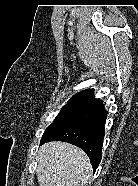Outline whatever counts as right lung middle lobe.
I'll return each instance as SVG.
<instances>
[{"label": "right lung middle lobe", "mask_w": 138, "mask_h": 186, "mask_svg": "<svg viewBox=\"0 0 138 186\" xmlns=\"http://www.w3.org/2000/svg\"><path fill=\"white\" fill-rule=\"evenodd\" d=\"M93 95V91L84 90L75 94L68 103L63 107L53 123L45 130L44 135L49 133L57 124L67 118L69 115L80 109L86 103H88Z\"/></svg>", "instance_id": "1"}]
</instances>
